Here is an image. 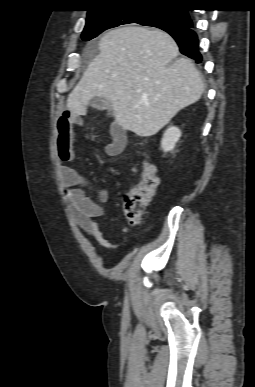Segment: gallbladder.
I'll list each match as a JSON object with an SVG mask.
<instances>
[{"mask_svg":"<svg viewBox=\"0 0 255 387\" xmlns=\"http://www.w3.org/2000/svg\"><path fill=\"white\" fill-rule=\"evenodd\" d=\"M90 105L92 107L100 109V110L111 108L110 102L104 98H101V97L93 98L90 102Z\"/></svg>","mask_w":255,"mask_h":387,"instance_id":"1","label":"gallbladder"}]
</instances>
